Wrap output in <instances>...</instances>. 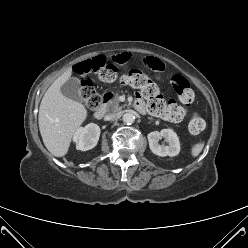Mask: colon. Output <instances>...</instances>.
Returning a JSON list of instances; mask_svg holds the SVG:
<instances>
[{
  "instance_id": "1",
  "label": "colon",
  "mask_w": 248,
  "mask_h": 248,
  "mask_svg": "<svg viewBox=\"0 0 248 248\" xmlns=\"http://www.w3.org/2000/svg\"><path fill=\"white\" fill-rule=\"evenodd\" d=\"M92 69L98 70L99 79L104 83L117 81L122 85L140 89L148 101V110L152 114L170 120L182 117V107L177 103H167L153 80L138 70H131L120 75L114 66L105 65V60L102 57L82 62L76 68L77 72L83 76L79 90L80 96L90 110L98 109L102 103L101 96L95 91L92 81L87 76ZM170 83L181 104L189 106L194 102L195 94L185 77L176 74L172 76ZM188 128L192 134H199L205 128V121L195 112L190 119Z\"/></svg>"
}]
</instances>
